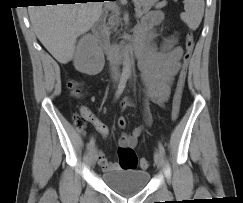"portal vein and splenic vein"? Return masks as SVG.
Instances as JSON below:
<instances>
[{
	"mask_svg": "<svg viewBox=\"0 0 243 203\" xmlns=\"http://www.w3.org/2000/svg\"><path fill=\"white\" fill-rule=\"evenodd\" d=\"M136 15H137V17H141L142 16V14L141 13H138V12H136Z\"/></svg>",
	"mask_w": 243,
	"mask_h": 203,
	"instance_id": "18ae733b",
	"label": "portal vein and splenic vein"
}]
</instances>
